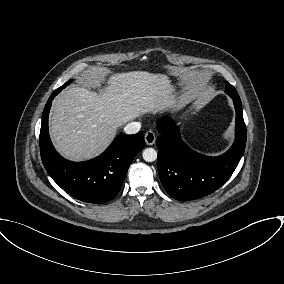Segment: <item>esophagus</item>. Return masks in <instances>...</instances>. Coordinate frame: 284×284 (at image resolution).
<instances>
[{
    "instance_id": "esophagus-1",
    "label": "esophagus",
    "mask_w": 284,
    "mask_h": 284,
    "mask_svg": "<svg viewBox=\"0 0 284 284\" xmlns=\"http://www.w3.org/2000/svg\"><path fill=\"white\" fill-rule=\"evenodd\" d=\"M156 141V136L153 131H147L145 134V142L147 145H153Z\"/></svg>"
}]
</instances>
